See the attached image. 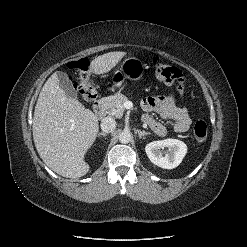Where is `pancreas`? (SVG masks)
Wrapping results in <instances>:
<instances>
[{
    "instance_id": "cf45deb5",
    "label": "pancreas",
    "mask_w": 247,
    "mask_h": 247,
    "mask_svg": "<svg viewBox=\"0 0 247 247\" xmlns=\"http://www.w3.org/2000/svg\"><path fill=\"white\" fill-rule=\"evenodd\" d=\"M126 101H128V98L125 95L116 93L112 96L103 98V105L111 115L120 118L125 110L124 103Z\"/></svg>"
}]
</instances>
